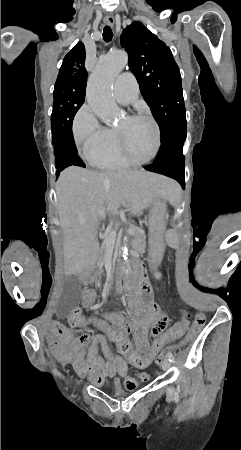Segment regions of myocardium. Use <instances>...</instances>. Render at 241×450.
<instances>
[{
	"label": "myocardium",
	"instance_id": "obj_1",
	"mask_svg": "<svg viewBox=\"0 0 241 450\" xmlns=\"http://www.w3.org/2000/svg\"><path fill=\"white\" fill-rule=\"evenodd\" d=\"M126 59H127V57H126ZM153 126L154 127H158L159 126V123L158 122H154L153 123ZM125 129L124 128H119L118 130H117V137H116V142L119 144V149H122L121 151H122V156L123 157H125L126 158V162H129V159L131 158L130 156H129V153L127 152L128 150L124 147V140H123V133L125 132L124 131ZM161 130H155V132H154V137H158V139H156V140H154V148L152 149V152H153V155H154V158H159V153H157V149H159V143H161V142H163V137H159V135H161ZM145 162H151V160H145Z\"/></svg>",
	"mask_w": 241,
	"mask_h": 450
}]
</instances>
